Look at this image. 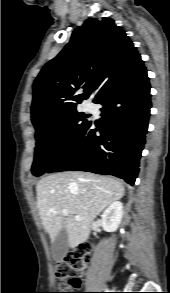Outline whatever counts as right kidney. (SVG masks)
<instances>
[{
	"label": "right kidney",
	"mask_w": 170,
	"mask_h": 293,
	"mask_svg": "<svg viewBox=\"0 0 170 293\" xmlns=\"http://www.w3.org/2000/svg\"><path fill=\"white\" fill-rule=\"evenodd\" d=\"M123 204L119 201L112 203L102 214V227L107 232L118 229L123 217Z\"/></svg>",
	"instance_id": "right-kidney-1"
}]
</instances>
